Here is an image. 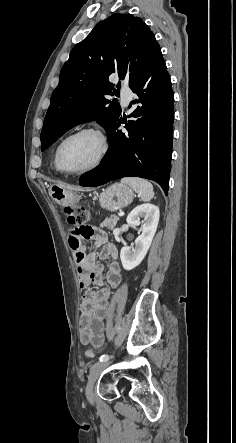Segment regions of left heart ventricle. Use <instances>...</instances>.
Returning a JSON list of instances; mask_svg holds the SVG:
<instances>
[{"mask_svg": "<svg viewBox=\"0 0 236 443\" xmlns=\"http://www.w3.org/2000/svg\"><path fill=\"white\" fill-rule=\"evenodd\" d=\"M99 150V141L93 134L76 136L63 146L60 154L61 165L69 171L84 169L95 162Z\"/></svg>", "mask_w": 236, "mask_h": 443, "instance_id": "1", "label": "left heart ventricle"}]
</instances>
